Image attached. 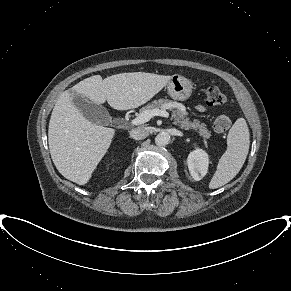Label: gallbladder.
I'll return each mask as SVG.
<instances>
[{
	"label": "gallbladder",
	"mask_w": 291,
	"mask_h": 291,
	"mask_svg": "<svg viewBox=\"0 0 291 291\" xmlns=\"http://www.w3.org/2000/svg\"><path fill=\"white\" fill-rule=\"evenodd\" d=\"M73 103L90 122L98 125H108L111 122L107 109L88 101L85 96L73 93Z\"/></svg>",
	"instance_id": "obj_1"
}]
</instances>
